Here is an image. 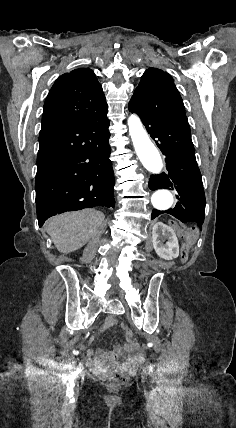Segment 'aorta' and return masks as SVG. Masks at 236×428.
I'll return each mask as SVG.
<instances>
[{
	"label": "aorta",
	"mask_w": 236,
	"mask_h": 428,
	"mask_svg": "<svg viewBox=\"0 0 236 428\" xmlns=\"http://www.w3.org/2000/svg\"><path fill=\"white\" fill-rule=\"evenodd\" d=\"M129 135L132 139L136 155L143 166L152 174H159L163 162L159 151L151 142L140 118L132 114L128 119ZM173 195L168 190H158L151 197V203L156 210L164 211L173 205Z\"/></svg>",
	"instance_id": "762f6f07"
}]
</instances>
